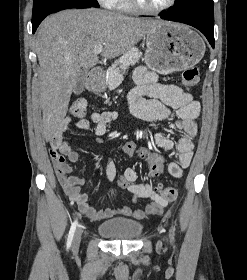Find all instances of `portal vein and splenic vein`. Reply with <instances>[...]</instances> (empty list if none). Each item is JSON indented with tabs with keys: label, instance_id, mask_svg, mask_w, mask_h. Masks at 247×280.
Instances as JSON below:
<instances>
[{
	"label": "portal vein and splenic vein",
	"instance_id": "18ae733b",
	"mask_svg": "<svg viewBox=\"0 0 247 280\" xmlns=\"http://www.w3.org/2000/svg\"><path fill=\"white\" fill-rule=\"evenodd\" d=\"M102 50H103V45H98L97 47H95L94 53L98 55L99 53L102 52Z\"/></svg>",
	"mask_w": 247,
	"mask_h": 280
}]
</instances>
